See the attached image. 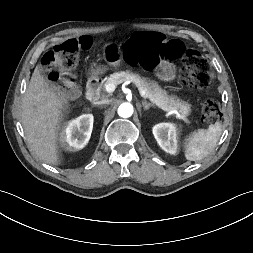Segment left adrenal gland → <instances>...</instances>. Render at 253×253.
<instances>
[{"label": "left adrenal gland", "mask_w": 253, "mask_h": 253, "mask_svg": "<svg viewBox=\"0 0 253 253\" xmlns=\"http://www.w3.org/2000/svg\"><path fill=\"white\" fill-rule=\"evenodd\" d=\"M142 105H143L144 110H149L151 107H154L153 104L148 103L147 101H142Z\"/></svg>", "instance_id": "left-adrenal-gland-1"}]
</instances>
